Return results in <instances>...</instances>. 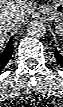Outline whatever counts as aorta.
<instances>
[{"mask_svg": "<svg viewBox=\"0 0 63 107\" xmlns=\"http://www.w3.org/2000/svg\"><path fill=\"white\" fill-rule=\"evenodd\" d=\"M27 31L30 36L40 38L46 33V27L42 21L33 20L28 24Z\"/></svg>", "mask_w": 63, "mask_h": 107, "instance_id": "aorta-1", "label": "aorta"}]
</instances>
